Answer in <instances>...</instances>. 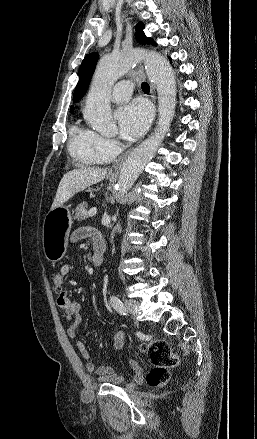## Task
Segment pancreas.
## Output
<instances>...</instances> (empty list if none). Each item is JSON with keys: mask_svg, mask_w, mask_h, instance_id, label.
<instances>
[{"mask_svg": "<svg viewBox=\"0 0 257 439\" xmlns=\"http://www.w3.org/2000/svg\"><path fill=\"white\" fill-rule=\"evenodd\" d=\"M87 203H81L75 208V216L74 219H77L78 221L84 220L88 218V212L86 210Z\"/></svg>", "mask_w": 257, "mask_h": 439, "instance_id": "1", "label": "pancreas"}]
</instances>
